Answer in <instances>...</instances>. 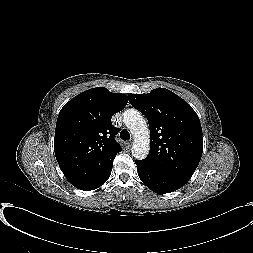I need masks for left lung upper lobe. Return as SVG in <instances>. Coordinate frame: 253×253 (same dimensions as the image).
I'll return each instance as SVG.
<instances>
[{
  "label": "left lung upper lobe",
  "instance_id": "5c2ea615",
  "mask_svg": "<svg viewBox=\"0 0 253 253\" xmlns=\"http://www.w3.org/2000/svg\"><path fill=\"white\" fill-rule=\"evenodd\" d=\"M150 128V152L142 161L158 172L187 183L203 151L202 128L195 111L165 88L128 96Z\"/></svg>",
  "mask_w": 253,
  "mask_h": 253
}]
</instances>
